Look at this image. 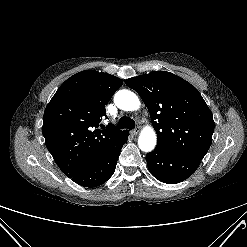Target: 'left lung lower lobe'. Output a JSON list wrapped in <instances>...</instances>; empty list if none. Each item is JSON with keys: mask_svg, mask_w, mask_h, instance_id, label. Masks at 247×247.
I'll return each mask as SVG.
<instances>
[{"mask_svg": "<svg viewBox=\"0 0 247 247\" xmlns=\"http://www.w3.org/2000/svg\"><path fill=\"white\" fill-rule=\"evenodd\" d=\"M151 174L159 181L176 184L190 177L198 168L200 160L188 157L161 146L146 155Z\"/></svg>", "mask_w": 247, "mask_h": 247, "instance_id": "left-lung-lower-lobe-1", "label": "left lung lower lobe"}]
</instances>
